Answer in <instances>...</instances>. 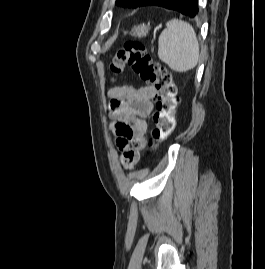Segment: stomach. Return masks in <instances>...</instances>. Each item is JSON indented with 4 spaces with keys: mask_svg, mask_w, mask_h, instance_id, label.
I'll return each instance as SVG.
<instances>
[{
    "mask_svg": "<svg viewBox=\"0 0 265 269\" xmlns=\"http://www.w3.org/2000/svg\"><path fill=\"white\" fill-rule=\"evenodd\" d=\"M150 30V25L140 24L134 26L131 30V34L136 37H145Z\"/></svg>",
    "mask_w": 265,
    "mask_h": 269,
    "instance_id": "stomach-1",
    "label": "stomach"
}]
</instances>
